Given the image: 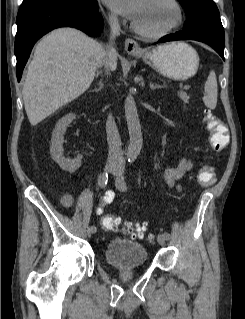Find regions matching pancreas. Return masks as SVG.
I'll use <instances>...</instances> for the list:
<instances>
[{
  "label": "pancreas",
  "instance_id": "cf45deb5",
  "mask_svg": "<svg viewBox=\"0 0 245 319\" xmlns=\"http://www.w3.org/2000/svg\"><path fill=\"white\" fill-rule=\"evenodd\" d=\"M179 97H180L184 102H187L188 99H189V96L186 95L185 93H180V94H179Z\"/></svg>",
  "mask_w": 245,
  "mask_h": 319
}]
</instances>
